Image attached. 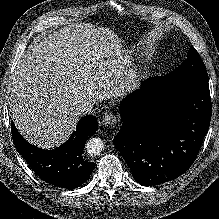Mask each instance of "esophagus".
<instances>
[{"instance_id":"obj_1","label":"esophagus","mask_w":219,"mask_h":219,"mask_svg":"<svg viewBox=\"0 0 219 219\" xmlns=\"http://www.w3.org/2000/svg\"><path fill=\"white\" fill-rule=\"evenodd\" d=\"M102 123L105 126L113 127L115 124L118 123V119H117V117L114 114L109 113V114H106L102 118Z\"/></svg>"}]
</instances>
